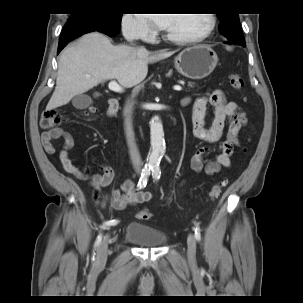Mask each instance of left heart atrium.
<instances>
[{
	"mask_svg": "<svg viewBox=\"0 0 303 303\" xmlns=\"http://www.w3.org/2000/svg\"><path fill=\"white\" fill-rule=\"evenodd\" d=\"M173 14H145L151 22L160 29H167L171 23Z\"/></svg>",
	"mask_w": 303,
	"mask_h": 303,
	"instance_id": "left-heart-atrium-1",
	"label": "left heart atrium"
}]
</instances>
